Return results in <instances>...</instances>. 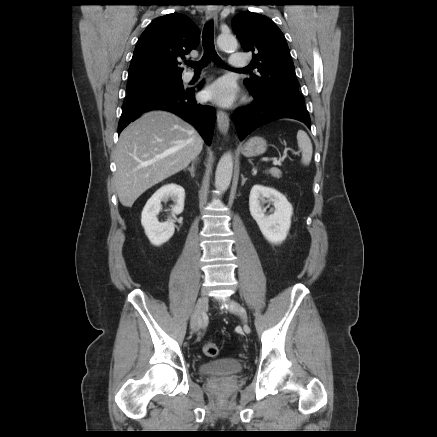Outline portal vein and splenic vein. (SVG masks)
<instances>
[{"instance_id":"18ae733b","label":"portal vein and splenic vein","mask_w":437,"mask_h":437,"mask_svg":"<svg viewBox=\"0 0 437 437\" xmlns=\"http://www.w3.org/2000/svg\"><path fill=\"white\" fill-rule=\"evenodd\" d=\"M273 165H274V166H281V162H280V161H277V160H274V161H273Z\"/></svg>"}]
</instances>
